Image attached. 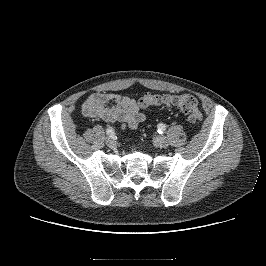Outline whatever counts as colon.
Masks as SVG:
<instances>
[{"label":"colon","instance_id":"obj_1","mask_svg":"<svg viewBox=\"0 0 266 266\" xmlns=\"http://www.w3.org/2000/svg\"><path fill=\"white\" fill-rule=\"evenodd\" d=\"M138 104L141 108L160 106L163 104L176 106L187 116V120L191 124L198 123L202 117L197 99L189 94L161 95L147 93L140 98Z\"/></svg>","mask_w":266,"mask_h":266}]
</instances>
